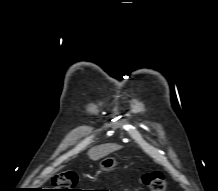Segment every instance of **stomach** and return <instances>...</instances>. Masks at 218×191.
I'll use <instances>...</instances> for the list:
<instances>
[{
  "label": "stomach",
  "mask_w": 218,
  "mask_h": 191,
  "mask_svg": "<svg viewBox=\"0 0 218 191\" xmlns=\"http://www.w3.org/2000/svg\"><path fill=\"white\" fill-rule=\"evenodd\" d=\"M100 168L104 171H109L112 170L116 167L117 162L115 160V158L113 157H107L104 158L101 162H100Z\"/></svg>",
  "instance_id": "0dacf381"
}]
</instances>
